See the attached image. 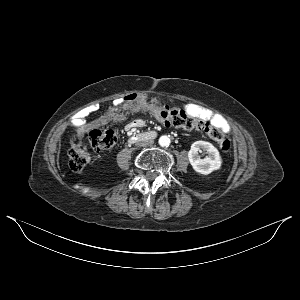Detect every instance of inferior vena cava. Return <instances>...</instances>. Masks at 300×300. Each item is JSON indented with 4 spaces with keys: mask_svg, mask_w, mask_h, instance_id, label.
Returning a JSON list of instances; mask_svg holds the SVG:
<instances>
[{
    "mask_svg": "<svg viewBox=\"0 0 300 300\" xmlns=\"http://www.w3.org/2000/svg\"><path fill=\"white\" fill-rule=\"evenodd\" d=\"M137 144L142 147L151 146L153 144L152 140H138Z\"/></svg>",
    "mask_w": 300,
    "mask_h": 300,
    "instance_id": "inferior-vena-cava-1",
    "label": "inferior vena cava"
}]
</instances>
